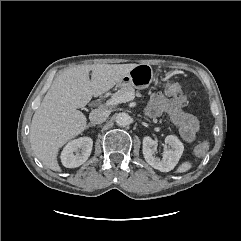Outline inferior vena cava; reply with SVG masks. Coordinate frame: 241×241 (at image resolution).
Returning <instances> with one entry per match:
<instances>
[{
	"mask_svg": "<svg viewBox=\"0 0 241 241\" xmlns=\"http://www.w3.org/2000/svg\"><path fill=\"white\" fill-rule=\"evenodd\" d=\"M109 116V113L104 109H95L90 115L89 119L92 124H101L103 123Z\"/></svg>",
	"mask_w": 241,
	"mask_h": 241,
	"instance_id": "1",
	"label": "inferior vena cava"
}]
</instances>
